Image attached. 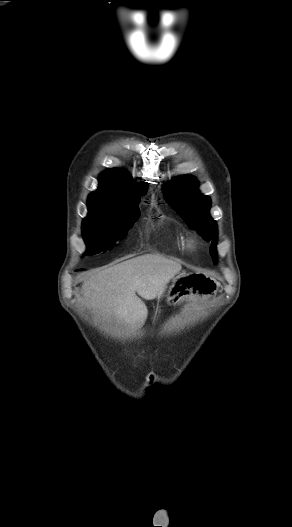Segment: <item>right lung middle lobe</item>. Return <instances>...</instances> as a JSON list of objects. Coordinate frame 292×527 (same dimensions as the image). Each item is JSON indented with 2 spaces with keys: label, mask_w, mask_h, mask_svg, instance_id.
Masks as SVG:
<instances>
[{
  "label": "right lung middle lobe",
  "mask_w": 292,
  "mask_h": 527,
  "mask_svg": "<svg viewBox=\"0 0 292 527\" xmlns=\"http://www.w3.org/2000/svg\"><path fill=\"white\" fill-rule=\"evenodd\" d=\"M139 216L137 205H119L88 198V215L82 223L86 255L111 248L133 226Z\"/></svg>",
  "instance_id": "obj_1"
}]
</instances>
